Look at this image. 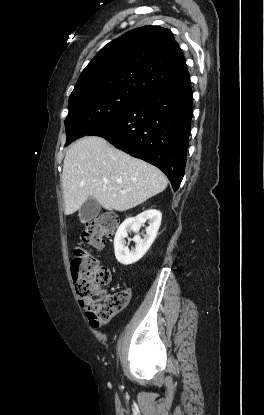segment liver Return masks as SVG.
I'll return each mask as SVG.
<instances>
[{
	"label": "liver",
	"mask_w": 264,
	"mask_h": 415,
	"mask_svg": "<svg viewBox=\"0 0 264 415\" xmlns=\"http://www.w3.org/2000/svg\"><path fill=\"white\" fill-rule=\"evenodd\" d=\"M61 179L66 215L79 210L90 197L106 210L126 211L161 193L168 184L157 167L98 136L83 137L67 150Z\"/></svg>",
	"instance_id": "obj_1"
}]
</instances>
